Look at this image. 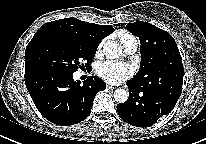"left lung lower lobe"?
<instances>
[{
  "label": "left lung lower lobe",
  "mask_w": 206,
  "mask_h": 144,
  "mask_svg": "<svg viewBox=\"0 0 206 144\" xmlns=\"http://www.w3.org/2000/svg\"><path fill=\"white\" fill-rule=\"evenodd\" d=\"M183 80L153 87L127 82L129 99L117 105L120 118L133 126L150 127L174 108L182 92Z\"/></svg>",
  "instance_id": "obj_1"
}]
</instances>
